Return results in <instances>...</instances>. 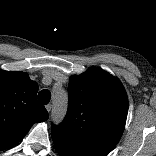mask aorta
<instances>
[{
	"mask_svg": "<svg viewBox=\"0 0 156 156\" xmlns=\"http://www.w3.org/2000/svg\"><path fill=\"white\" fill-rule=\"evenodd\" d=\"M53 109L51 119L59 124L64 119L68 108V95L64 90L57 89L52 94Z\"/></svg>",
	"mask_w": 156,
	"mask_h": 156,
	"instance_id": "762f6f07",
	"label": "aorta"
}]
</instances>
